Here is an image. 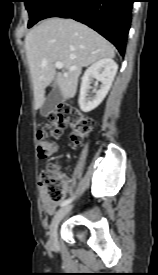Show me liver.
Returning <instances> with one entry per match:
<instances>
[{
    "mask_svg": "<svg viewBox=\"0 0 158 275\" xmlns=\"http://www.w3.org/2000/svg\"><path fill=\"white\" fill-rule=\"evenodd\" d=\"M25 49L36 110L42 107L45 88L52 81L65 99L72 98L83 67L115 56L114 47L97 32L73 19L58 17L46 19L30 30L25 37ZM57 61L63 63V72H56Z\"/></svg>",
    "mask_w": 158,
    "mask_h": 275,
    "instance_id": "6515ba94",
    "label": "liver"
}]
</instances>
